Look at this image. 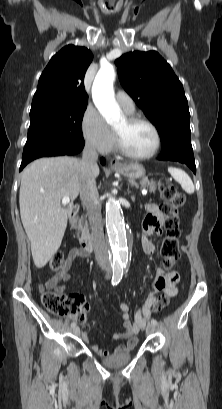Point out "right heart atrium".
I'll list each match as a JSON object with an SVG mask.
<instances>
[{
    "label": "right heart atrium",
    "instance_id": "right-heart-atrium-1",
    "mask_svg": "<svg viewBox=\"0 0 222 409\" xmlns=\"http://www.w3.org/2000/svg\"><path fill=\"white\" fill-rule=\"evenodd\" d=\"M81 131L85 142L100 153H108L112 150L115 143L114 134L92 105H88L83 112Z\"/></svg>",
    "mask_w": 222,
    "mask_h": 409
}]
</instances>
